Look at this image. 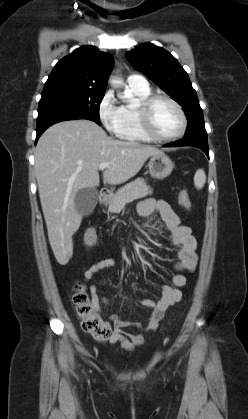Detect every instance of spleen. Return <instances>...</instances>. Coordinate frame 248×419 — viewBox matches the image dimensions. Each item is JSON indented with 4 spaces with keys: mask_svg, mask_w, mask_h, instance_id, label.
I'll return each mask as SVG.
<instances>
[{
    "mask_svg": "<svg viewBox=\"0 0 248 419\" xmlns=\"http://www.w3.org/2000/svg\"><path fill=\"white\" fill-rule=\"evenodd\" d=\"M206 182V174L203 169L196 171L194 175V185L197 189H202Z\"/></svg>",
    "mask_w": 248,
    "mask_h": 419,
    "instance_id": "3e777b00",
    "label": "spleen"
}]
</instances>
